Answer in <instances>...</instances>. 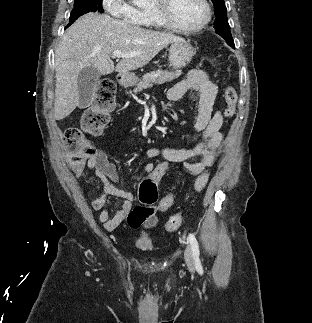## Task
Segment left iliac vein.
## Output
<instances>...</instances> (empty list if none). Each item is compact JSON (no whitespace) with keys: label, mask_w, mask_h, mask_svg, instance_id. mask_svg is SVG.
I'll return each instance as SVG.
<instances>
[{"label":"left iliac vein","mask_w":312,"mask_h":323,"mask_svg":"<svg viewBox=\"0 0 312 323\" xmlns=\"http://www.w3.org/2000/svg\"><path fill=\"white\" fill-rule=\"evenodd\" d=\"M184 258H185V262L187 263L189 269L193 270L195 265H194V260H193V252H192V248L190 245H187L185 248Z\"/></svg>","instance_id":"obj_1"}]
</instances>
